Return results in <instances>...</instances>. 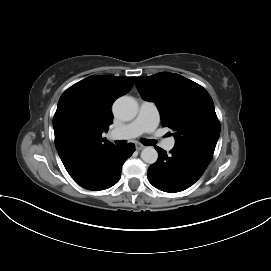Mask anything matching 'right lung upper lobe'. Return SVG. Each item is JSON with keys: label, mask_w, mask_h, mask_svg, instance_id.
I'll return each mask as SVG.
<instances>
[{"label": "right lung upper lobe", "mask_w": 271, "mask_h": 271, "mask_svg": "<svg viewBox=\"0 0 271 271\" xmlns=\"http://www.w3.org/2000/svg\"><path fill=\"white\" fill-rule=\"evenodd\" d=\"M135 77L90 76L60 97L53 118L55 145L74 179L115 145L102 137L113 122L111 106L130 91Z\"/></svg>", "instance_id": "right-lung-upper-lobe-1"}]
</instances>
